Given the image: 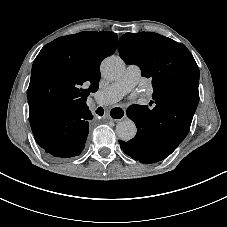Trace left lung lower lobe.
Instances as JSON below:
<instances>
[{"label": "left lung lower lobe", "mask_w": 227, "mask_h": 227, "mask_svg": "<svg viewBox=\"0 0 227 227\" xmlns=\"http://www.w3.org/2000/svg\"><path fill=\"white\" fill-rule=\"evenodd\" d=\"M154 108L131 105L127 116L137 126L136 136L119 141L122 150L141 163H155L169 156L189 132L196 108L155 103Z\"/></svg>", "instance_id": "left-lung-lower-lobe-1"}]
</instances>
